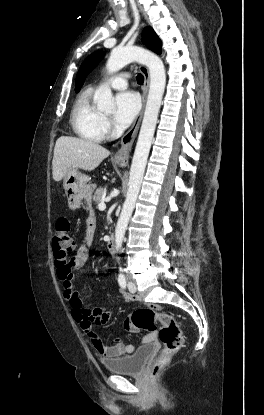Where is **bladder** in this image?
Returning a JSON list of instances; mask_svg holds the SVG:
<instances>
[{"label":"bladder","mask_w":264,"mask_h":415,"mask_svg":"<svg viewBox=\"0 0 264 415\" xmlns=\"http://www.w3.org/2000/svg\"><path fill=\"white\" fill-rule=\"evenodd\" d=\"M156 345L149 342L139 346L132 354L104 359L103 365L108 372L118 374H138L145 367L147 359L154 353Z\"/></svg>","instance_id":"1"}]
</instances>
